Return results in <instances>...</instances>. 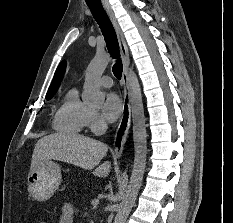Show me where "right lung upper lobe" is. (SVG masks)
Instances as JSON below:
<instances>
[{
	"label": "right lung upper lobe",
	"mask_w": 233,
	"mask_h": 223,
	"mask_svg": "<svg viewBox=\"0 0 233 223\" xmlns=\"http://www.w3.org/2000/svg\"><path fill=\"white\" fill-rule=\"evenodd\" d=\"M65 67H66V62L65 61H62L55 74H54V78H53V81L48 89V92L46 94V99L49 100L53 97V95L56 93L57 89L59 88V85H60V82L63 78V74L65 72Z\"/></svg>",
	"instance_id": "right-lung-upper-lobe-1"
}]
</instances>
